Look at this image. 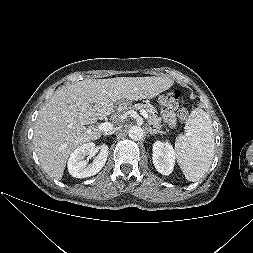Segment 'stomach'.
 <instances>
[{"label": "stomach", "instance_id": "1", "mask_svg": "<svg viewBox=\"0 0 253 253\" xmlns=\"http://www.w3.org/2000/svg\"><path fill=\"white\" fill-rule=\"evenodd\" d=\"M168 96H169V94L162 95L161 99H160L161 103L166 104L168 101ZM131 108H132V101L129 98L118 99L115 102V109L118 112L129 111Z\"/></svg>", "mask_w": 253, "mask_h": 253}]
</instances>
